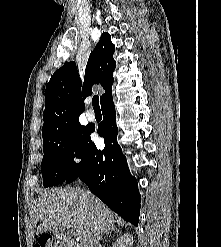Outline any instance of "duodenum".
<instances>
[{"label": "duodenum", "instance_id": "duodenum-1", "mask_svg": "<svg viewBox=\"0 0 221 247\" xmlns=\"http://www.w3.org/2000/svg\"><path fill=\"white\" fill-rule=\"evenodd\" d=\"M56 239L59 241V244L62 247H76V245L70 241H68L65 237L61 235H56Z\"/></svg>", "mask_w": 221, "mask_h": 247}]
</instances>
